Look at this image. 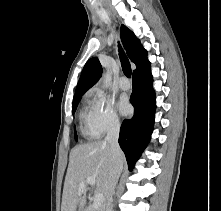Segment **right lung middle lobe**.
<instances>
[{
  "label": "right lung middle lobe",
  "mask_w": 221,
  "mask_h": 211,
  "mask_svg": "<svg viewBox=\"0 0 221 211\" xmlns=\"http://www.w3.org/2000/svg\"><path fill=\"white\" fill-rule=\"evenodd\" d=\"M81 97H82V96H78V97H74V99H73V106H72V113H73V114H74L75 111H76L77 105H78V103H79ZM74 133H75V140L77 141L78 138H77V135H76V130H75V128H74Z\"/></svg>",
  "instance_id": "dd1d6c3e"
}]
</instances>
